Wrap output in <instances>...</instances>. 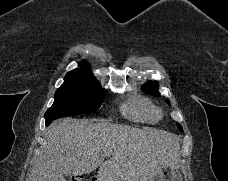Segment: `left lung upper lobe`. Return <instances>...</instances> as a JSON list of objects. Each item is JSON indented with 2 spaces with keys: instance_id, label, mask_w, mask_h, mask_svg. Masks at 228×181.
<instances>
[{
  "instance_id": "obj_1",
  "label": "left lung upper lobe",
  "mask_w": 228,
  "mask_h": 181,
  "mask_svg": "<svg viewBox=\"0 0 228 181\" xmlns=\"http://www.w3.org/2000/svg\"><path fill=\"white\" fill-rule=\"evenodd\" d=\"M143 89L147 93H149L151 95H154V96L160 95L159 92H158V83L157 82H150L149 81V82H147V83L144 84ZM177 126H178V128H179L180 131H183L182 130V127L178 123H177Z\"/></svg>"
}]
</instances>
